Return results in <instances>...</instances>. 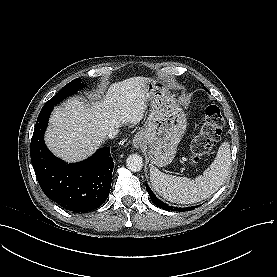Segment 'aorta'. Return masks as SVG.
I'll use <instances>...</instances> for the list:
<instances>
[{
	"label": "aorta",
	"mask_w": 277,
	"mask_h": 277,
	"mask_svg": "<svg viewBox=\"0 0 277 277\" xmlns=\"http://www.w3.org/2000/svg\"><path fill=\"white\" fill-rule=\"evenodd\" d=\"M126 166L133 172H138L143 167V159L139 154H131L126 159Z\"/></svg>",
	"instance_id": "1"
}]
</instances>
